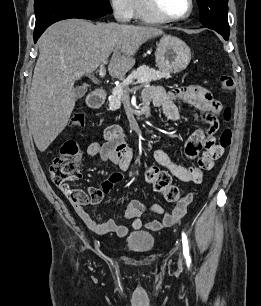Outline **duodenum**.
I'll return each instance as SVG.
<instances>
[{
  "instance_id": "410a0bca",
  "label": "duodenum",
  "mask_w": 261,
  "mask_h": 306,
  "mask_svg": "<svg viewBox=\"0 0 261 306\" xmlns=\"http://www.w3.org/2000/svg\"><path fill=\"white\" fill-rule=\"evenodd\" d=\"M106 91L102 88L92 91L87 97V104L91 108H99L105 101ZM149 113V108L145 104L138 112V117H146Z\"/></svg>"
}]
</instances>
